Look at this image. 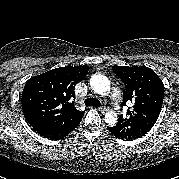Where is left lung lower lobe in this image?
I'll use <instances>...</instances> for the list:
<instances>
[{"instance_id": "1", "label": "left lung lower lobe", "mask_w": 179, "mask_h": 179, "mask_svg": "<svg viewBox=\"0 0 179 179\" xmlns=\"http://www.w3.org/2000/svg\"><path fill=\"white\" fill-rule=\"evenodd\" d=\"M108 128V130L112 133V134H114L115 135V133H114V128L113 127H107ZM117 137V136H116ZM140 136H137L136 138H139ZM117 138H119V137H117ZM136 138H134V139H136ZM119 139H122V140H128V141H130V140H133V139H123V138H119Z\"/></svg>"}]
</instances>
